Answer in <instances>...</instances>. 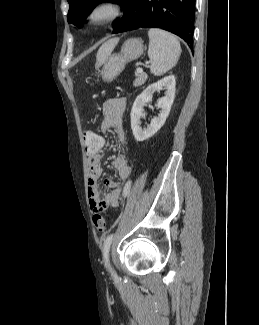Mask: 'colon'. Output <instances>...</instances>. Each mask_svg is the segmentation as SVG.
Instances as JSON below:
<instances>
[{"mask_svg": "<svg viewBox=\"0 0 259 325\" xmlns=\"http://www.w3.org/2000/svg\"><path fill=\"white\" fill-rule=\"evenodd\" d=\"M84 143L86 149H101L103 139L100 135H95L94 131L87 130L84 133ZM93 224L99 233H104L106 229V220L101 214H94Z\"/></svg>", "mask_w": 259, "mask_h": 325, "instance_id": "colon-1", "label": "colon"}]
</instances>
